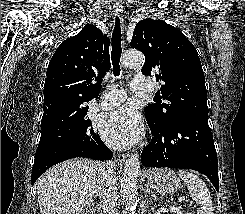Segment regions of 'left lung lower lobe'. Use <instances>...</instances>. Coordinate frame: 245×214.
Masks as SVG:
<instances>
[{
    "mask_svg": "<svg viewBox=\"0 0 245 214\" xmlns=\"http://www.w3.org/2000/svg\"><path fill=\"white\" fill-rule=\"evenodd\" d=\"M147 122L153 137L143 149V166L193 169L206 175L218 191L217 154L207 116L186 117L167 128Z\"/></svg>",
    "mask_w": 245,
    "mask_h": 214,
    "instance_id": "0a47b994",
    "label": "left lung lower lobe"
}]
</instances>
